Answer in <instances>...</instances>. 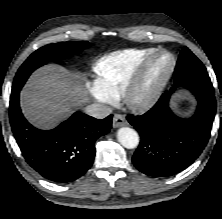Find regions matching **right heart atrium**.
Segmentation results:
<instances>
[{"instance_id": "1", "label": "right heart atrium", "mask_w": 222, "mask_h": 219, "mask_svg": "<svg viewBox=\"0 0 222 219\" xmlns=\"http://www.w3.org/2000/svg\"><path fill=\"white\" fill-rule=\"evenodd\" d=\"M94 95H95L97 101L100 102V103H108V102H110L109 100H107L106 98L98 95L97 93H95Z\"/></svg>"}]
</instances>
